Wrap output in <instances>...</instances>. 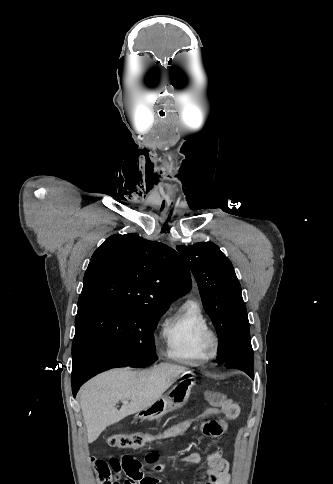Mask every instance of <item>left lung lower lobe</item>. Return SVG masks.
Here are the masks:
<instances>
[{
    "instance_id": "1",
    "label": "left lung lower lobe",
    "mask_w": 333,
    "mask_h": 484,
    "mask_svg": "<svg viewBox=\"0 0 333 484\" xmlns=\"http://www.w3.org/2000/svg\"><path fill=\"white\" fill-rule=\"evenodd\" d=\"M229 355L226 366L242 365L247 374L253 378V350L250 340L249 327H246L233 341L228 350Z\"/></svg>"
}]
</instances>
